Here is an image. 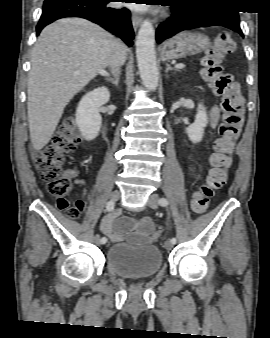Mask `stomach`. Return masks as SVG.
Instances as JSON below:
<instances>
[{"mask_svg": "<svg viewBox=\"0 0 270 338\" xmlns=\"http://www.w3.org/2000/svg\"><path fill=\"white\" fill-rule=\"evenodd\" d=\"M209 39L200 33L184 31L165 41L160 49L164 61L198 54L209 47Z\"/></svg>", "mask_w": 270, "mask_h": 338, "instance_id": "1", "label": "stomach"}]
</instances>
